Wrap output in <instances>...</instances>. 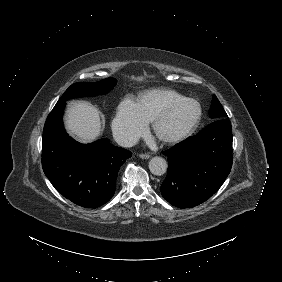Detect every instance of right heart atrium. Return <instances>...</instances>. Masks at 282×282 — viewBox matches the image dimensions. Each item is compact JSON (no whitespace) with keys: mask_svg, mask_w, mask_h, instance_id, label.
I'll return each instance as SVG.
<instances>
[{"mask_svg":"<svg viewBox=\"0 0 282 282\" xmlns=\"http://www.w3.org/2000/svg\"><path fill=\"white\" fill-rule=\"evenodd\" d=\"M148 123L140 104L132 99H125L117 109L112 130L119 141L132 143L147 131Z\"/></svg>","mask_w":282,"mask_h":282,"instance_id":"1","label":"right heart atrium"}]
</instances>
